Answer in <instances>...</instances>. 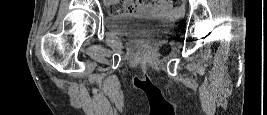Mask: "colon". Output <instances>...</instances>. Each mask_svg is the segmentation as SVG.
Returning a JSON list of instances; mask_svg holds the SVG:
<instances>
[{
    "mask_svg": "<svg viewBox=\"0 0 267 115\" xmlns=\"http://www.w3.org/2000/svg\"><path fill=\"white\" fill-rule=\"evenodd\" d=\"M173 6L180 7L183 5V0H170L169 1ZM127 7L121 3H113L108 6V13L110 15H117L126 13Z\"/></svg>",
    "mask_w": 267,
    "mask_h": 115,
    "instance_id": "1",
    "label": "colon"
}]
</instances>
